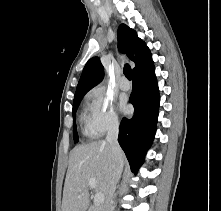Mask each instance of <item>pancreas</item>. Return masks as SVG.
Here are the masks:
<instances>
[{
  "label": "pancreas",
  "mask_w": 221,
  "mask_h": 211,
  "mask_svg": "<svg viewBox=\"0 0 221 211\" xmlns=\"http://www.w3.org/2000/svg\"><path fill=\"white\" fill-rule=\"evenodd\" d=\"M89 211H103V207H97V208L92 207L89 209Z\"/></svg>",
  "instance_id": "pancreas-1"
}]
</instances>
